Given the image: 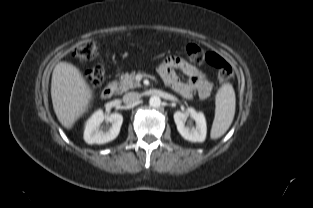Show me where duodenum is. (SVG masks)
Masks as SVG:
<instances>
[{
    "mask_svg": "<svg viewBox=\"0 0 313 208\" xmlns=\"http://www.w3.org/2000/svg\"><path fill=\"white\" fill-rule=\"evenodd\" d=\"M115 90H116V85L114 83H111L103 88L101 92V97L104 99H109L112 97Z\"/></svg>",
    "mask_w": 313,
    "mask_h": 208,
    "instance_id": "1",
    "label": "duodenum"
}]
</instances>
